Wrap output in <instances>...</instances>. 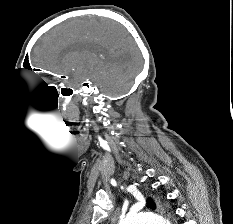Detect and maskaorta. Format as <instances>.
Returning <instances> with one entry per match:
<instances>
[{
    "label": "aorta",
    "instance_id": "1",
    "mask_svg": "<svg viewBox=\"0 0 233 224\" xmlns=\"http://www.w3.org/2000/svg\"><path fill=\"white\" fill-rule=\"evenodd\" d=\"M118 224H170V222L160 215L150 212H140L127 215Z\"/></svg>",
    "mask_w": 233,
    "mask_h": 224
}]
</instances>
